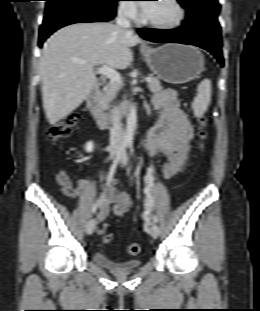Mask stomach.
<instances>
[{"mask_svg":"<svg viewBox=\"0 0 260 311\" xmlns=\"http://www.w3.org/2000/svg\"><path fill=\"white\" fill-rule=\"evenodd\" d=\"M142 54L150 70L169 83L189 82L204 71L203 54L190 45L169 43L143 49Z\"/></svg>","mask_w":260,"mask_h":311,"instance_id":"obj_1","label":"stomach"}]
</instances>
